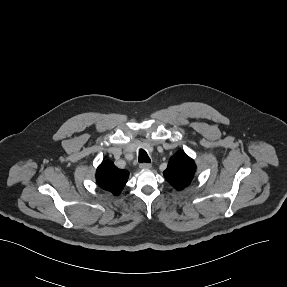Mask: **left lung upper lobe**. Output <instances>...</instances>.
<instances>
[{
	"label": "left lung upper lobe",
	"instance_id": "5c2ea615",
	"mask_svg": "<svg viewBox=\"0 0 287 287\" xmlns=\"http://www.w3.org/2000/svg\"><path fill=\"white\" fill-rule=\"evenodd\" d=\"M194 173V161L184 152L179 151L170 158L163 175L174 188L181 190L190 184Z\"/></svg>",
	"mask_w": 287,
	"mask_h": 287
}]
</instances>
